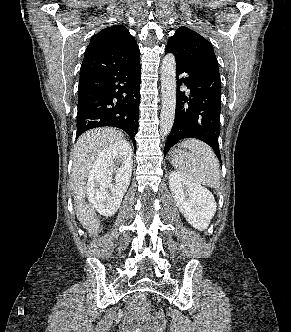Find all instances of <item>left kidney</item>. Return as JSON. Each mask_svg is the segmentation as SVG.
I'll use <instances>...</instances> for the list:
<instances>
[{"mask_svg": "<svg viewBox=\"0 0 291 332\" xmlns=\"http://www.w3.org/2000/svg\"><path fill=\"white\" fill-rule=\"evenodd\" d=\"M169 187L186 220L198 230L206 229L216 212L217 205L213 194L178 172L170 173Z\"/></svg>", "mask_w": 291, "mask_h": 332, "instance_id": "1", "label": "left kidney"}]
</instances>
